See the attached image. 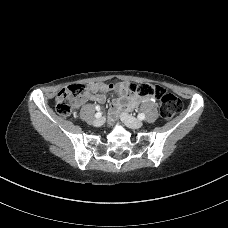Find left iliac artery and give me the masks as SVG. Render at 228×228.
I'll return each instance as SVG.
<instances>
[{
	"label": "left iliac artery",
	"mask_w": 228,
	"mask_h": 228,
	"mask_svg": "<svg viewBox=\"0 0 228 228\" xmlns=\"http://www.w3.org/2000/svg\"><path fill=\"white\" fill-rule=\"evenodd\" d=\"M138 119H140V120L145 119V114L144 113L138 114Z\"/></svg>",
	"instance_id": "1"
}]
</instances>
